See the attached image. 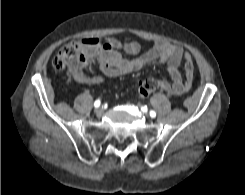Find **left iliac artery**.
Here are the masks:
<instances>
[{"label": "left iliac artery", "instance_id": "obj_1", "mask_svg": "<svg viewBox=\"0 0 245 195\" xmlns=\"http://www.w3.org/2000/svg\"><path fill=\"white\" fill-rule=\"evenodd\" d=\"M150 116H151L152 118H155V117H156V112L153 111V110H151V111H150Z\"/></svg>", "mask_w": 245, "mask_h": 195}]
</instances>
